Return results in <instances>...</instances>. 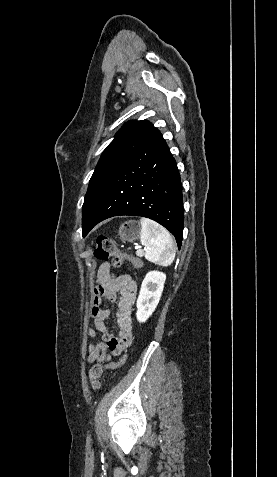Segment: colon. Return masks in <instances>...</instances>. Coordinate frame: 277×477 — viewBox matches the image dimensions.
I'll return each mask as SVG.
<instances>
[{"mask_svg": "<svg viewBox=\"0 0 277 477\" xmlns=\"http://www.w3.org/2000/svg\"><path fill=\"white\" fill-rule=\"evenodd\" d=\"M98 260L110 261L113 268H120L127 264L129 268H142L143 260L140 256H134L128 251L120 249L106 236H98L96 239V249L94 252ZM103 368L100 364L94 365L89 373L91 384L94 388L98 387V378L101 376Z\"/></svg>", "mask_w": 277, "mask_h": 477, "instance_id": "colon-1", "label": "colon"}]
</instances>
